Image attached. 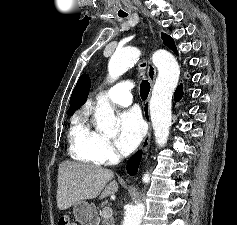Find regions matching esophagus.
<instances>
[{
    "label": "esophagus",
    "mask_w": 237,
    "mask_h": 225,
    "mask_svg": "<svg viewBox=\"0 0 237 225\" xmlns=\"http://www.w3.org/2000/svg\"><path fill=\"white\" fill-rule=\"evenodd\" d=\"M150 30H151V33L154 35V32H153V29H152L151 25H150ZM156 73H157L156 68H155V66L152 63L151 58H150L147 75H148V78H149V81H150V84H151V88L154 85L155 78H156ZM149 99H150V95L148 96L147 100L143 104V116H144V119H145V121L148 125L147 134L145 135V137H144V139H143V141L140 145V150L143 153H145L148 150V148L150 146V140H151L152 127H151V119H150V112H149Z\"/></svg>",
    "instance_id": "34e87169"
}]
</instances>
